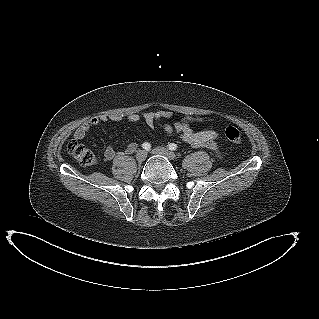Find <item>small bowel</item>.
Wrapping results in <instances>:
<instances>
[{"instance_id": "1", "label": "small bowel", "mask_w": 319, "mask_h": 319, "mask_svg": "<svg viewBox=\"0 0 319 319\" xmlns=\"http://www.w3.org/2000/svg\"><path fill=\"white\" fill-rule=\"evenodd\" d=\"M173 116L174 113L172 111L158 110L147 111L142 114H131L127 117V120L129 122H138L139 120L143 119L146 125L150 128L154 127L156 124H159L168 135L176 134L182 141L191 145L192 147H205L212 150L215 153H219V147L217 143L219 138L218 132L214 130H204L195 132L192 129L193 124L200 123L203 121V118L201 116H184L178 121H176L174 126L159 123L160 119L172 118ZM122 119L123 117L120 114H112L109 116H95L83 123L75 130L74 138L76 140H81L93 127L108 120L113 122H119ZM136 148L137 144L135 142H131L126 146L125 150L123 151V154H132L133 152H135ZM116 155V150L113 147L108 146L104 151L103 158L104 160L110 161L113 158H115Z\"/></svg>"}]
</instances>
